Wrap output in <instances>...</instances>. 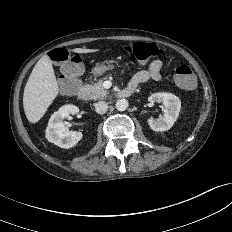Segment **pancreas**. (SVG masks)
<instances>
[{"mask_svg": "<svg viewBox=\"0 0 232 232\" xmlns=\"http://www.w3.org/2000/svg\"><path fill=\"white\" fill-rule=\"evenodd\" d=\"M85 88L89 95V99H103L108 95V91L103 87V80H99L93 85H86Z\"/></svg>", "mask_w": 232, "mask_h": 232, "instance_id": "1", "label": "pancreas"}]
</instances>
